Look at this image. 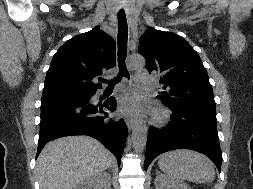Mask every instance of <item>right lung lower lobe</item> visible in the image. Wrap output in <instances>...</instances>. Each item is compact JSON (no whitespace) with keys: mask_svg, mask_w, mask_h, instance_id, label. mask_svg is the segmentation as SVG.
Returning a JSON list of instances; mask_svg holds the SVG:
<instances>
[{"mask_svg":"<svg viewBox=\"0 0 253 189\" xmlns=\"http://www.w3.org/2000/svg\"><path fill=\"white\" fill-rule=\"evenodd\" d=\"M94 93L87 98L49 97L41 100L37 156L52 139L84 134L102 142L120 165L128 135L126 124L122 119L119 122L107 120V113L103 108L115 110L116 101L111 97L103 105H94L90 101Z\"/></svg>","mask_w":253,"mask_h":189,"instance_id":"obj_1","label":"right lung lower lobe"}]
</instances>
